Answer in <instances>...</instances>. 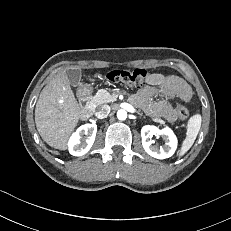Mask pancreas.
I'll use <instances>...</instances> for the list:
<instances>
[{"instance_id": "obj_1", "label": "pancreas", "mask_w": 231, "mask_h": 231, "mask_svg": "<svg viewBox=\"0 0 231 231\" xmlns=\"http://www.w3.org/2000/svg\"><path fill=\"white\" fill-rule=\"evenodd\" d=\"M116 100L115 95H111L108 91L104 89L98 90L95 96L92 97V102L97 105L114 102ZM156 122L164 123L161 119H155Z\"/></svg>"}]
</instances>
